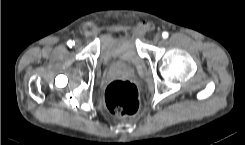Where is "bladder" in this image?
Here are the masks:
<instances>
[{
    "label": "bladder",
    "mask_w": 245,
    "mask_h": 145,
    "mask_svg": "<svg viewBox=\"0 0 245 145\" xmlns=\"http://www.w3.org/2000/svg\"><path fill=\"white\" fill-rule=\"evenodd\" d=\"M100 60L107 67H137L143 58L129 33H109L104 38Z\"/></svg>",
    "instance_id": "bladder-1"
}]
</instances>
